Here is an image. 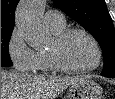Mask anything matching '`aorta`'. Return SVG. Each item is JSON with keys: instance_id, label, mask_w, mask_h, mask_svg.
Listing matches in <instances>:
<instances>
[{"instance_id": "762f6f07", "label": "aorta", "mask_w": 115, "mask_h": 99, "mask_svg": "<svg viewBox=\"0 0 115 99\" xmlns=\"http://www.w3.org/2000/svg\"><path fill=\"white\" fill-rule=\"evenodd\" d=\"M44 3V0L22 1L16 12V26L32 47L43 46L48 39L42 20Z\"/></svg>"}]
</instances>
